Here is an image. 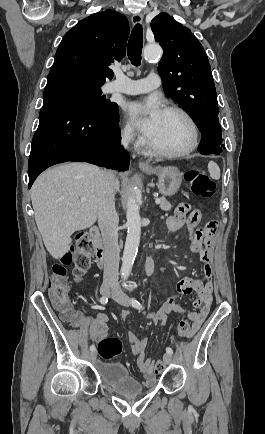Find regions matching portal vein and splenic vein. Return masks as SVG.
Returning <instances> with one entry per match:
<instances>
[{"label":"portal vein and splenic vein","mask_w":265,"mask_h":434,"mask_svg":"<svg viewBox=\"0 0 265 434\" xmlns=\"http://www.w3.org/2000/svg\"><path fill=\"white\" fill-rule=\"evenodd\" d=\"M81 202H86V198H80ZM156 204H160V200H156Z\"/></svg>","instance_id":"obj_1"}]
</instances>
